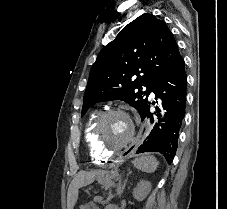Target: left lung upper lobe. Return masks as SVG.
Returning a JSON list of instances; mask_svg holds the SVG:
<instances>
[{"instance_id": "1", "label": "left lung upper lobe", "mask_w": 227, "mask_h": 209, "mask_svg": "<svg viewBox=\"0 0 227 209\" xmlns=\"http://www.w3.org/2000/svg\"><path fill=\"white\" fill-rule=\"evenodd\" d=\"M179 55L178 45L164 21L148 13L137 17L97 56L81 116L95 103L114 99L125 101L141 114L150 93Z\"/></svg>"}]
</instances>
